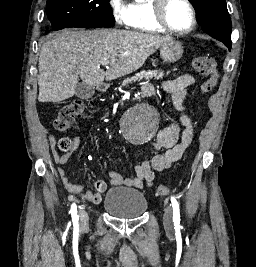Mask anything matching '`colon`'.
I'll list each match as a JSON object with an SVG mask.
<instances>
[{
	"instance_id": "colon-1",
	"label": "colon",
	"mask_w": 256,
	"mask_h": 267,
	"mask_svg": "<svg viewBox=\"0 0 256 267\" xmlns=\"http://www.w3.org/2000/svg\"><path fill=\"white\" fill-rule=\"evenodd\" d=\"M195 69L205 77L201 85V93L203 95L212 92L217 84L218 71L215 59L213 57L201 56L194 60ZM88 111V106L82 100H78L61 107L57 113V117L53 121V127L56 132L64 133L70 124L79 117H82ZM60 148L68 150L71 146L69 139H62L59 142ZM157 196H167L170 194V188L164 184H158L155 188Z\"/></svg>"
}]
</instances>
